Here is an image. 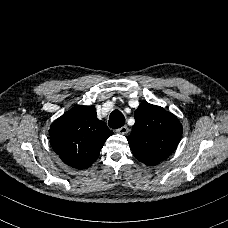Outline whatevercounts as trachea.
Here are the masks:
<instances>
[{"instance_id": "1", "label": "trachea", "mask_w": 228, "mask_h": 228, "mask_svg": "<svg viewBox=\"0 0 228 228\" xmlns=\"http://www.w3.org/2000/svg\"><path fill=\"white\" fill-rule=\"evenodd\" d=\"M125 124V117L124 115L118 111L114 110L109 117L108 125L112 129H118Z\"/></svg>"}]
</instances>
